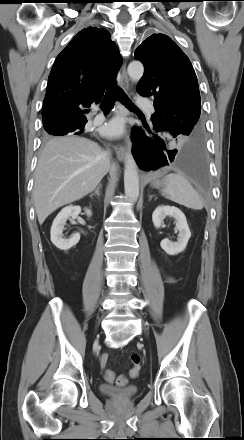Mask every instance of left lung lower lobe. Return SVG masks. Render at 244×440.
<instances>
[{
  "label": "left lung lower lobe",
  "instance_id": "left-lung-lower-lobe-1",
  "mask_svg": "<svg viewBox=\"0 0 244 440\" xmlns=\"http://www.w3.org/2000/svg\"><path fill=\"white\" fill-rule=\"evenodd\" d=\"M152 126L144 123V129H132L133 153L140 169L149 171L172 165L199 182L206 178L204 137L189 139L181 148L166 137L163 127L154 119ZM172 163V164H171Z\"/></svg>",
  "mask_w": 244,
  "mask_h": 440
}]
</instances>
